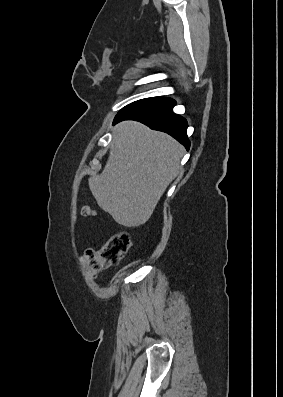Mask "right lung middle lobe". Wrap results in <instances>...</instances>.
<instances>
[{"label":"right lung middle lobe","instance_id":"obj_1","mask_svg":"<svg viewBox=\"0 0 283 397\" xmlns=\"http://www.w3.org/2000/svg\"><path fill=\"white\" fill-rule=\"evenodd\" d=\"M136 102H138V101H136ZM136 102H133V103H131V104H129V105H127V106H125L123 109H125V108L129 107L130 105H132V104H134V103H136ZM123 109H122V110H123ZM122 110H121V111H122ZM119 112H120V111H119Z\"/></svg>","mask_w":283,"mask_h":397}]
</instances>
